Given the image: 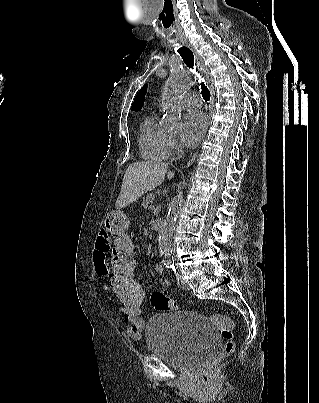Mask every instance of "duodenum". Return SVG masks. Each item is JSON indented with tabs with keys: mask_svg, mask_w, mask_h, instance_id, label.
<instances>
[{
	"mask_svg": "<svg viewBox=\"0 0 319 403\" xmlns=\"http://www.w3.org/2000/svg\"><path fill=\"white\" fill-rule=\"evenodd\" d=\"M162 227H163V223H162V221L160 219H155L152 222L153 231L160 232L162 230Z\"/></svg>",
	"mask_w": 319,
	"mask_h": 403,
	"instance_id": "1",
	"label": "duodenum"
}]
</instances>
